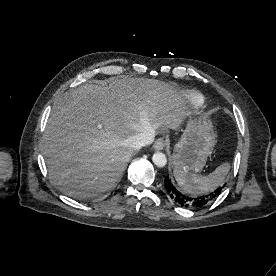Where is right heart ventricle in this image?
I'll list each match as a JSON object with an SVG mask.
<instances>
[{"label": "right heart ventricle", "instance_id": "obj_1", "mask_svg": "<svg viewBox=\"0 0 276 276\" xmlns=\"http://www.w3.org/2000/svg\"><path fill=\"white\" fill-rule=\"evenodd\" d=\"M188 101L192 108L198 109L203 106L204 97L200 93L192 92L188 95Z\"/></svg>", "mask_w": 276, "mask_h": 276}]
</instances>
